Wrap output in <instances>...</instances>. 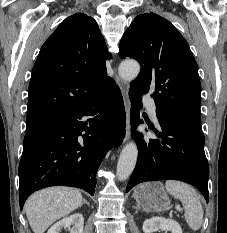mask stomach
I'll use <instances>...</instances> for the list:
<instances>
[{
    "instance_id": "0dacf381",
    "label": "stomach",
    "mask_w": 227,
    "mask_h": 233,
    "mask_svg": "<svg viewBox=\"0 0 227 233\" xmlns=\"http://www.w3.org/2000/svg\"><path fill=\"white\" fill-rule=\"evenodd\" d=\"M138 207L145 212H161L169 209L170 199L160 183H146L134 190Z\"/></svg>"
}]
</instances>
